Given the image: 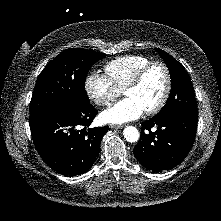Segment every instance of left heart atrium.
<instances>
[{
	"label": "left heart atrium",
	"mask_w": 221,
	"mask_h": 221,
	"mask_svg": "<svg viewBox=\"0 0 221 221\" xmlns=\"http://www.w3.org/2000/svg\"><path fill=\"white\" fill-rule=\"evenodd\" d=\"M143 112L144 109L134 98L126 97L102 112L101 119L107 123L120 124L139 118Z\"/></svg>",
	"instance_id": "left-heart-atrium-1"
}]
</instances>
